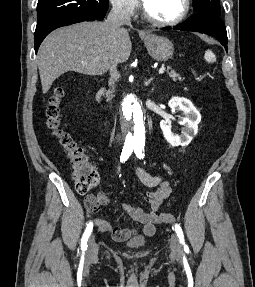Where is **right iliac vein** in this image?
Instances as JSON below:
<instances>
[{
    "label": "right iliac vein",
    "instance_id": "63e3f726",
    "mask_svg": "<svg viewBox=\"0 0 255 287\" xmlns=\"http://www.w3.org/2000/svg\"><path fill=\"white\" fill-rule=\"evenodd\" d=\"M97 254H98V246L95 243L94 235H91L88 240V250H87L86 258L88 261H93L96 259Z\"/></svg>",
    "mask_w": 255,
    "mask_h": 287
}]
</instances>
